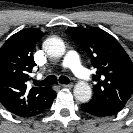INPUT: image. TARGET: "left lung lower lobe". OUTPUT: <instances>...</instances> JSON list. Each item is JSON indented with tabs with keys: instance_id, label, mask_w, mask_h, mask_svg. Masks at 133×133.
I'll list each match as a JSON object with an SVG mask.
<instances>
[{
	"instance_id": "obj_1",
	"label": "left lung lower lobe",
	"mask_w": 133,
	"mask_h": 133,
	"mask_svg": "<svg viewBox=\"0 0 133 133\" xmlns=\"http://www.w3.org/2000/svg\"><path fill=\"white\" fill-rule=\"evenodd\" d=\"M81 108L87 114L98 116V117L115 115L121 110L109 105L101 104L93 100H91L88 103L82 104Z\"/></svg>"
}]
</instances>
